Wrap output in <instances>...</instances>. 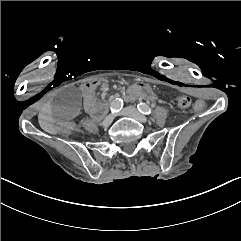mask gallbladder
<instances>
[{
  "label": "gallbladder",
  "instance_id": "obj_1",
  "mask_svg": "<svg viewBox=\"0 0 241 241\" xmlns=\"http://www.w3.org/2000/svg\"><path fill=\"white\" fill-rule=\"evenodd\" d=\"M80 91L76 87H66L54 98V112L61 119H71L80 112Z\"/></svg>",
  "mask_w": 241,
  "mask_h": 241
}]
</instances>
